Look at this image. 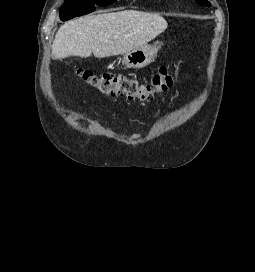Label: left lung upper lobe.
I'll list each match as a JSON object with an SVG mask.
<instances>
[{
  "instance_id": "obj_1",
  "label": "left lung upper lobe",
  "mask_w": 255,
  "mask_h": 272,
  "mask_svg": "<svg viewBox=\"0 0 255 272\" xmlns=\"http://www.w3.org/2000/svg\"><path fill=\"white\" fill-rule=\"evenodd\" d=\"M199 5H202V6H210V2H208L207 0H195Z\"/></svg>"
}]
</instances>
